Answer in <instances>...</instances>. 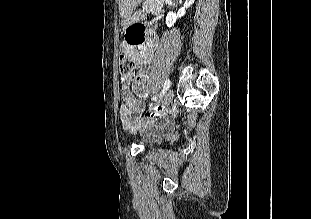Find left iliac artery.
I'll use <instances>...</instances> for the list:
<instances>
[{"instance_id":"obj_1","label":"left iliac artery","mask_w":311,"mask_h":219,"mask_svg":"<svg viewBox=\"0 0 311 219\" xmlns=\"http://www.w3.org/2000/svg\"><path fill=\"white\" fill-rule=\"evenodd\" d=\"M170 85H171V81H170L169 79H167V80L165 81V83H164L162 92H161V94H160V98L163 97V95H164V94L166 93V91L169 89Z\"/></svg>"}]
</instances>
